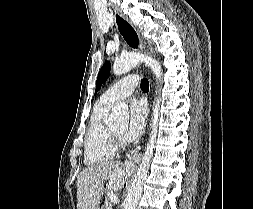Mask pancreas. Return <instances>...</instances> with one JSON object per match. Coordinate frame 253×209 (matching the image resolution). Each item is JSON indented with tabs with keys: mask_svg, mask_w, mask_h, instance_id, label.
<instances>
[{
	"mask_svg": "<svg viewBox=\"0 0 253 209\" xmlns=\"http://www.w3.org/2000/svg\"><path fill=\"white\" fill-rule=\"evenodd\" d=\"M104 209H111V208H110V203H109V199H108V198L105 199Z\"/></svg>",
	"mask_w": 253,
	"mask_h": 209,
	"instance_id": "1",
	"label": "pancreas"
}]
</instances>
